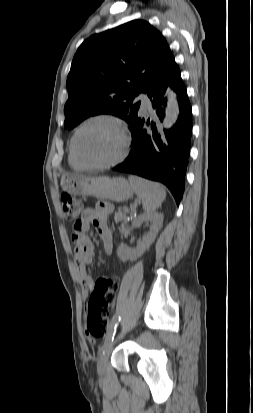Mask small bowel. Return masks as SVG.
I'll return each instance as SVG.
<instances>
[{
    "instance_id": "obj_1",
    "label": "small bowel",
    "mask_w": 253,
    "mask_h": 413,
    "mask_svg": "<svg viewBox=\"0 0 253 413\" xmlns=\"http://www.w3.org/2000/svg\"><path fill=\"white\" fill-rule=\"evenodd\" d=\"M112 211V205L100 202L94 208L85 209L81 218L74 224L72 241L74 243L75 263L82 285V293L85 297L92 291L94 281L87 273V268L94 259V245L87 235V231L94 226L102 241L106 254L113 251V236L108 226V216Z\"/></svg>"
}]
</instances>
